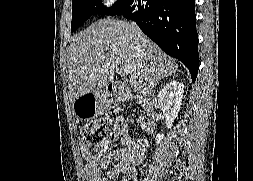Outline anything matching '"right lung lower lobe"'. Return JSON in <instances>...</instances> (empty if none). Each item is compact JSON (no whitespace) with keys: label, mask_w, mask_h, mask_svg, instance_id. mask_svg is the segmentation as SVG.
I'll return each mask as SVG.
<instances>
[{"label":"right lung lower lobe","mask_w":253,"mask_h":181,"mask_svg":"<svg viewBox=\"0 0 253 181\" xmlns=\"http://www.w3.org/2000/svg\"><path fill=\"white\" fill-rule=\"evenodd\" d=\"M195 0H130L122 15L140 29L166 54L189 69L192 81L199 68Z\"/></svg>","instance_id":"right-lung-lower-lobe-1"}]
</instances>
